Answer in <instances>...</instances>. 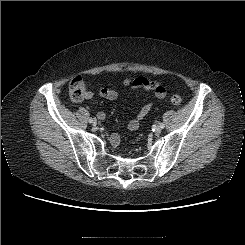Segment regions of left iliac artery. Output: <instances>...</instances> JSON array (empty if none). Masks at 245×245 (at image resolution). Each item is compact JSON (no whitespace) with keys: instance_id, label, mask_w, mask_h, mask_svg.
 Returning a JSON list of instances; mask_svg holds the SVG:
<instances>
[{"instance_id":"left-iliac-artery-1","label":"left iliac artery","mask_w":245,"mask_h":245,"mask_svg":"<svg viewBox=\"0 0 245 245\" xmlns=\"http://www.w3.org/2000/svg\"><path fill=\"white\" fill-rule=\"evenodd\" d=\"M159 125H160V127H161L162 129L165 127V125H164L163 123H160Z\"/></svg>"}]
</instances>
